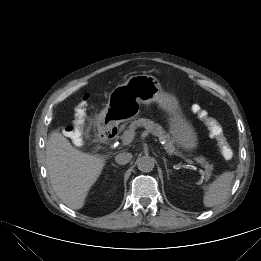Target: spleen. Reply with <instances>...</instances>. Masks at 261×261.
Wrapping results in <instances>:
<instances>
[{"label":"spleen","mask_w":261,"mask_h":261,"mask_svg":"<svg viewBox=\"0 0 261 261\" xmlns=\"http://www.w3.org/2000/svg\"><path fill=\"white\" fill-rule=\"evenodd\" d=\"M233 177V172H224L212 184L207 186L203 197L205 207H214L225 201L229 194Z\"/></svg>","instance_id":"3e777b00"}]
</instances>
